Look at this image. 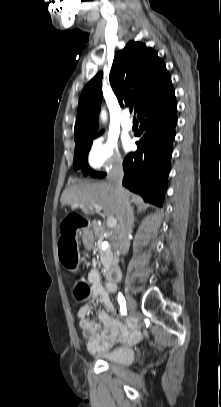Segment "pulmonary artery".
Returning <instances> with one entry per match:
<instances>
[{
    "label": "pulmonary artery",
    "instance_id": "obj_1",
    "mask_svg": "<svg viewBox=\"0 0 221 407\" xmlns=\"http://www.w3.org/2000/svg\"><path fill=\"white\" fill-rule=\"evenodd\" d=\"M121 126L126 131L131 130L132 127H133L132 120L130 119L129 112L127 110L123 112V118H122Z\"/></svg>",
    "mask_w": 221,
    "mask_h": 407
}]
</instances>
